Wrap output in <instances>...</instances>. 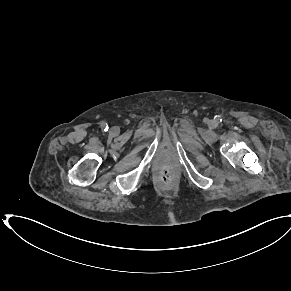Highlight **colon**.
Wrapping results in <instances>:
<instances>
[{"label": "colon", "mask_w": 291, "mask_h": 291, "mask_svg": "<svg viewBox=\"0 0 291 291\" xmlns=\"http://www.w3.org/2000/svg\"><path fill=\"white\" fill-rule=\"evenodd\" d=\"M159 177L163 182H170L174 177V172L171 167L165 166L161 169Z\"/></svg>", "instance_id": "5ec220e1"}]
</instances>
